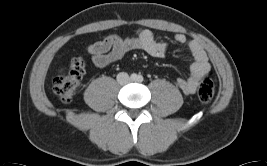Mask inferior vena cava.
I'll use <instances>...</instances> for the list:
<instances>
[{
    "label": "inferior vena cava",
    "mask_w": 267,
    "mask_h": 166,
    "mask_svg": "<svg viewBox=\"0 0 267 166\" xmlns=\"http://www.w3.org/2000/svg\"><path fill=\"white\" fill-rule=\"evenodd\" d=\"M117 81L119 84L121 85H125L127 83L130 82V77L127 73L125 72H120L118 75H117Z\"/></svg>",
    "instance_id": "inferior-vena-cava-1"
}]
</instances>
